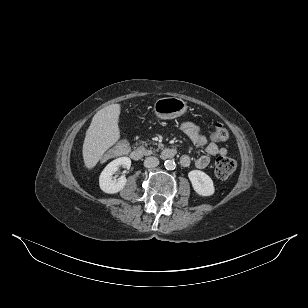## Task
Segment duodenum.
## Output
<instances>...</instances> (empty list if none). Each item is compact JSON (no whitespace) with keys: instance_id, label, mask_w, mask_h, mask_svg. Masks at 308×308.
Here are the masks:
<instances>
[{"instance_id":"obj_1","label":"duodenum","mask_w":308,"mask_h":308,"mask_svg":"<svg viewBox=\"0 0 308 308\" xmlns=\"http://www.w3.org/2000/svg\"><path fill=\"white\" fill-rule=\"evenodd\" d=\"M146 155V152L141 148H135L131 151L130 157L134 161L141 160ZM176 155V150L173 148H166L160 152L162 159H172Z\"/></svg>"}]
</instances>
